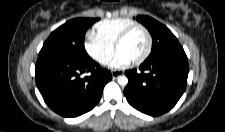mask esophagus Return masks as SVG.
<instances>
[{
	"instance_id": "esophagus-1",
	"label": "esophagus",
	"mask_w": 225,
	"mask_h": 132,
	"mask_svg": "<svg viewBox=\"0 0 225 132\" xmlns=\"http://www.w3.org/2000/svg\"><path fill=\"white\" fill-rule=\"evenodd\" d=\"M121 74V71H112V77L115 79Z\"/></svg>"
}]
</instances>
